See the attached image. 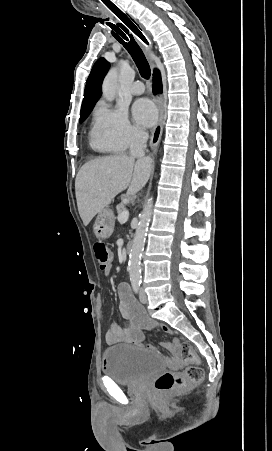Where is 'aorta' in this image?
<instances>
[{
	"label": "aorta",
	"mask_w": 272,
	"mask_h": 451,
	"mask_svg": "<svg viewBox=\"0 0 272 451\" xmlns=\"http://www.w3.org/2000/svg\"><path fill=\"white\" fill-rule=\"evenodd\" d=\"M117 80H118L117 68H110L102 84L103 98H106L107 102H113L115 98ZM152 210H153V200L152 198H149V200H147L143 208V212L140 216V222L135 231L134 239L132 241V247L128 263L131 281H141L140 259L144 247L147 227L152 216Z\"/></svg>",
	"instance_id": "1"
}]
</instances>
